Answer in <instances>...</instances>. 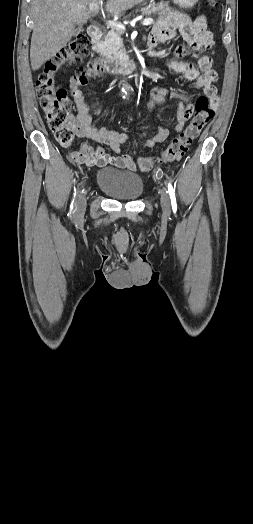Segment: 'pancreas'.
Wrapping results in <instances>:
<instances>
[{"mask_svg":"<svg viewBox=\"0 0 253 524\" xmlns=\"http://www.w3.org/2000/svg\"><path fill=\"white\" fill-rule=\"evenodd\" d=\"M142 14L150 16L158 14L162 19H168L176 15V12L169 7L167 2L161 1L158 3H151L141 9ZM122 30L113 28L102 39L97 41L94 45V50L100 54L102 58L117 59V55L123 54V44L121 40Z\"/></svg>","mask_w":253,"mask_h":524,"instance_id":"pancreas-1","label":"pancreas"}]
</instances>
